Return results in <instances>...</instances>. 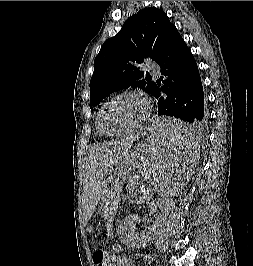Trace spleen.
I'll use <instances>...</instances> for the list:
<instances>
[{"mask_svg":"<svg viewBox=\"0 0 253 266\" xmlns=\"http://www.w3.org/2000/svg\"><path fill=\"white\" fill-rule=\"evenodd\" d=\"M150 126L154 132H163V138L144 150L148 160L136 161L135 176H127L122 193L131 194L132 199H175L174 188L185 187L200 155L197 124L178 123L177 117H150Z\"/></svg>","mask_w":253,"mask_h":266,"instance_id":"1","label":"spleen"}]
</instances>
